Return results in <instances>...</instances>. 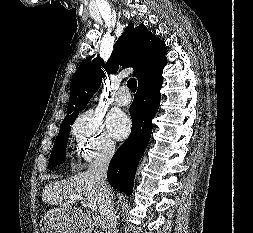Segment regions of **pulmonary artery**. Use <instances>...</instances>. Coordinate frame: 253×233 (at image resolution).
I'll use <instances>...</instances> for the list:
<instances>
[{"label": "pulmonary artery", "mask_w": 253, "mask_h": 233, "mask_svg": "<svg viewBox=\"0 0 253 233\" xmlns=\"http://www.w3.org/2000/svg\"><path fill=\"white\" fill-rule=\"evenodd\" d=\"M115 102L119 106H128L131 103V96L129 95L128 88L126 86H123L118 90Z\"/></svg>", "instance_id": "1"}]
</instances>
